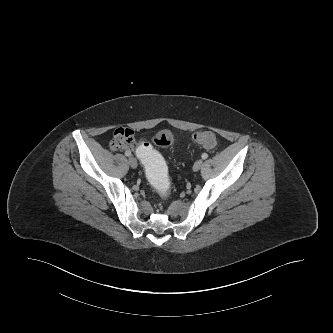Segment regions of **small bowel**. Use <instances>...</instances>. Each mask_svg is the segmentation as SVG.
<instances>
[{
  "mask_svg": "<svg viewBox=\"0 0 333 333\" xmlns=\"http://www.w3.org/2000/svg\"><path fill=\"white\" fill-rule=\"evenodd\" d=\"M111 140L112 148L122 153L136 151L137 146L139 145H135L137 141L136 135L127 128L116 129L112 133Z\"/></svg>",
  "mask_w": 333,
  "mask_h": 333,
  "instance_id": "small-bowel-1",
  "label": "small bowel"
}]
</instances>
